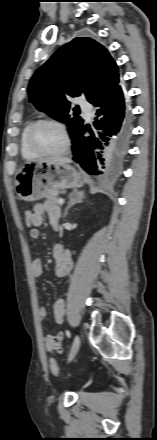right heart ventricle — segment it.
Returning a JSON list of instances; mask_svg holds the SVG:
<instances>
[{
  "label": "right heart ventricle",
  "instance_id": "right-heart-ventricle-1",
  "mask_svg": "<svg viewBox=\"0 0 157 440\" xmlns=\"http://www.w3.org/2000/svg\"><path fill=\"white\" fill-rule=\"evenodd\" d=\"M34 123H35V120H30L23 128V131H22L21 137H20V149H21L22 156L28 160L36 159L40 156L39 154L35 153L29 147V144H28V133Z\"/></svg>",
  "mask_w": 157,
  "mask_h": 440
}]
</instances>
